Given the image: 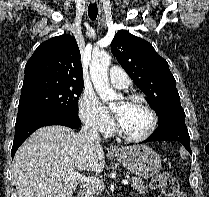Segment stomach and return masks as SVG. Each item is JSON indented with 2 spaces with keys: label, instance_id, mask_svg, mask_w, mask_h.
Returning <instances> with one entry per match:
<instances>
[{
  "label": "stomach",
  "instance_id": "1",
  "mask_svg": "<svg viewBox=\"0 0 209 197\" xmlns=\"http://www.w3.org/2000/svg\"><path fill=\"white\" fill-rule=\"evenodd\" d=\"M116 159L133 174L141 178H150L161 169V158L145 145L132 146L115 154Z\"/></svg>",
  "mask_w": 209,
  "mask_h": 197
}]
</instances>
